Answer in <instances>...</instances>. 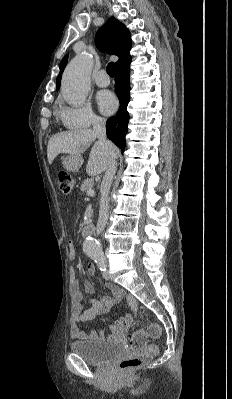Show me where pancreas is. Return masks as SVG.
Segmentation results:
<instances>
[{
  "mask_svg": "<svg viewBox=\"0 0 232 399\" xmlns=\"http://www.w3.org/2000/svg\"><path fill=\"white\" fill-rule=\"evenodd\" d=\"M93 186V180H84L83 184L80 186V190L81 192H88V190H92Z\"/></svg>",
  "mask_w": 232,
  "mask_h": 399,
  "instance_id": "cf45deb5",
  "label": "pancreas"
}]
</instances>
